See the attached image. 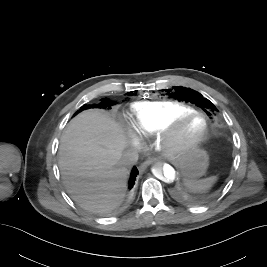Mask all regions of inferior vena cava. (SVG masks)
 <instances>
[{"instance_id": "obj_1", "label": "inferior vena cava", "mask_w": 267, "mask_h": 267, "mask_svg": "<svg viewBox=\"0 0 267 267\" xmlns=\"http://www.w3.org/2000/svg\"><path fill=\"white\" fill-rule=\"evenodd\" d=\"M138 153L137 152H125L123 154V162L126 166H131V165H134L136 164V162L138 161Z\"/></svg>"}]
</instances>
